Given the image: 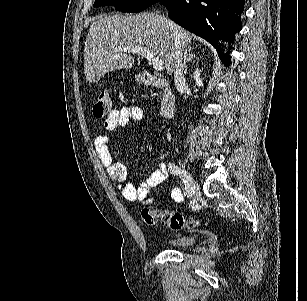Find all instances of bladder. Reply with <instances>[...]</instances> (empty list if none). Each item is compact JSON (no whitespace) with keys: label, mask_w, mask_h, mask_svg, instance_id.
Wrapping results in <instances>:
<instances>
[{"label":"bladder","mask_w":307,"mask_h":301,"mask_svg":"<svg viewBox=\"0 0 307 301\" xmlns=\"http://www.w3.org/2000/svg\"><path fill=\"white\" fill-rule=\"evenodd\" d=\"M197 237L193 236H180L168 239L165 242L166 247L184 249L189 245L195 244L197 242Z\"/></svg>","instance_id":"1"}]
</instances>
